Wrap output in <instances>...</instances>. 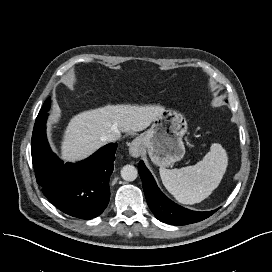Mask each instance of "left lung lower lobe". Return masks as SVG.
I'll return each mask as SVG.
<instances>
[{
	"mask_svg": "<svg viewBox=\"0 0 272 272\" xmlns=\"http://www.w3.org/2000/svg\"><path fill=\"white\" fill-rule=\"evenodd\" d=\"M138 171L149 208L161 222L171 225H187L202 221L217 211V209L206 212L191 211L175 204L157 187L143 161L139 162Z\"/></svg>",
	"mask_w": 272,
	"mask_h": 272,
	"instance_id": "obj_1",
	"label": "left lung lower lobe"
}]
</instances>
